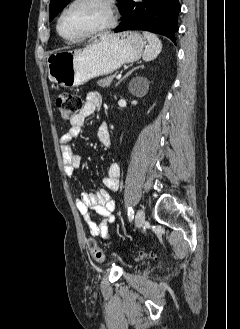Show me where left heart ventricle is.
<instances>
[{
  "label": "left heart ventricle",
  "mask_w": 240,
  "mask_h": 329,
  "mask_svg": "<svg viewBox=\"0 0 240 329\" xmlns=\"http://www.w3.org/2000/svg\"><path fill=\"white\" fill-rule=\"evenodd\" d=\"M108 22L106 7L97 0H84L69 9L60 23L66 37H75L101 27Z\"/></svg>",
  "instance_id": "obj_1"
}]
</instances>
